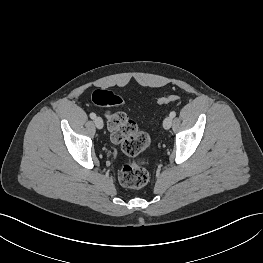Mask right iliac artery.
Here are the masks:
<instances>
[{"mask_svg":"<svg viewBox=\"0 0 263 263\" xmlns=\"http://www.w3.org/2000/svg\"><path fill=\"white\" fill-rule=\"evenodd\" d=\"M90 118L91 119H95L96 118V114L95 113H90Z\"/></svg>","mask_w":263,"mask_h":263,"instance_id":"82829eb1","label":"right iliac artery"}]
</instances>
